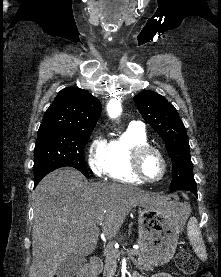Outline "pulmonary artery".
<instances>
[{
  "label": "pulmonary artery",
  "mask_w": 221,
  "mask_h": 277,
  "mask_svg": "<svg viewBox=\"0 0 221 277\" xmlns=\"http://www.w3.org/2000/svg\"><path fill=\"white\" fill-rule=\"evenodd\" d=\"M130 126L139 128V129H144V124L140 121H133L130 123Z\"/></svg>",
  "instance_id": "e3ab8cb5"
}]
</instances>
